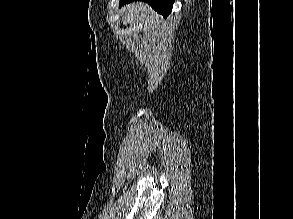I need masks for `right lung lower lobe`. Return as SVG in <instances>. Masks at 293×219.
Listing matches in <instances>:
<instances>
[{
	"mask_svg": "<svg viewBox=\"0 0 293 219\" xmlns=\"http://www.w3.org/2000/svg\"><path fill=\"white\" fill-rule=\"evenodd\" d=\"M134 0H120L119 5L122 6ZM149 3L155 11L167 17L172 11L174 0H142Z\"/></svg>",
	"mask_w": 293,
	"mask_h": 219,
	"instance_id": "1",
	"label": "right lung lower lobe"
}]
</instances>
